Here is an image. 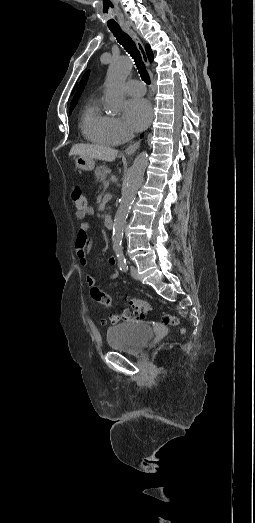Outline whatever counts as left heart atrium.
Instances as JSON below:
<instances>
[{"instance_id": "1", "label": "left heart atrium", "mask_w": 255, "mask_h": 523, "mask_svg": "<svg viewBox=\"0 0 255 523\" xmlns=\"http://www.w3.org/2000/svg\"><path fill=\"white\" fill-rule=\"evenodd\" d=\"M124 114L127 125L134 130H139L145 127L151 119V104L142 97L137 100L131 99L125 105Z\"/></svg>"}]
</instances>
